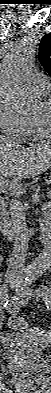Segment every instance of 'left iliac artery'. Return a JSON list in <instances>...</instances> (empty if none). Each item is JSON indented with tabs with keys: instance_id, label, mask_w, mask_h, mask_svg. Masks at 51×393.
<instances>
[{
	"instance_id": "1",
	"label": "left iliac artery",
	"mask_w": 51,
	"mask_h": 393,
	"mask_svg": "<svg viewBox=\"0 0 51 393\" xmlns=\"http://www.w3.org/2000/svg\"><path fill=\"white\" fill-rule=\"evenodd\" d=\"M36 279V274H28L25 276L22 281V289H24L25 296H30L32 294V290L29 288L31 283ZM37 295L41 296L48 309H51V288L50 287H42L37 290Z\"/></svg>"
}]
</instances>
